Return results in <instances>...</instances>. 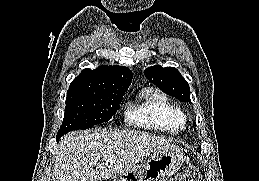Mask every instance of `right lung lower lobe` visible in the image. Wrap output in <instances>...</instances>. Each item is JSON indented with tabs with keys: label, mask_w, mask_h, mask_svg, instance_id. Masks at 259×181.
<instances>
[{
	"label": "right lung lower lobe",
	"mask_w": 259,
	"mask_h": 181,
	"mask_svg": "<svg viewBox=\"0 0 259 181\" xmlns=\"http://www.w3.org/2000/svg\"><path fill=\"white\" fill-rule=\"evenodd\" d=\"M62 136H57L56 139H57V142L59 141V139L61 138Z\"/></svg>",
	"instance_id": "right-lung-lower-lobe-1"
}]
</instances>
